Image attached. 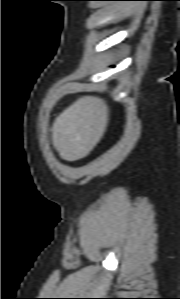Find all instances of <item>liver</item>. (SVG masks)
Segmentation results:
<instances>
[{
  "label": "liver",
  "instance_id": "6515ba94",
  "mask_svg": "<svg viewBox=\"0 0 180 299\" xmlns=\"http://www.w3.org/2000/svg\"><path fill=\"white\" fill-rule=\"evenodd\" d=\"M108 120L109 108L103 99L83 96L55 119L52 144L62 159H82L100 141Z\"/></svg>",
  "mask_w": 180,
  "mask_h": 299
}]
</instances>
